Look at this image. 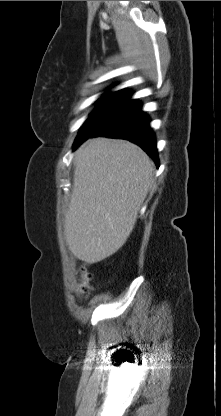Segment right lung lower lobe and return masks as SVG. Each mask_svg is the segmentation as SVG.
<instances>
[{"label": "right lung lower lobe", "mask_w": 221, "mask_h": 416, "mask_svg": "<svg viewBox=\"0 0 221 416\" xmlns=\"http://www.w3.org/2000/svg\"><path fill=\"white\" fill-rule=\"evenodd\" d=\"M137 100H124L119 107L90 134L76 139L73 148H77L89 137L106 136L127 139L152 157L159 166L155 135L149 126V118L141 109Z\"/></svg>", "instance_id": "98d812e1"}]
</instances>
